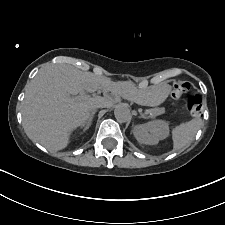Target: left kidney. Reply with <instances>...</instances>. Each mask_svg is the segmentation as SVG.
Masks as SVG:
<instances>
[{"mask_svg":"<svg viewBox=\"0 0 225 225\" xmlns=\"http://www.w3.org/2000/svg\"><path fill=\"white\" fill-rule=\"evenodd\" d=\"M133 134L141 144L155 145L169 134L166 121L154 120L134 127Z\"/></svg>","mask_w":225,"mask_h":225,"instance_id":"obj_1","label":"left kidney"}]
</instances>
